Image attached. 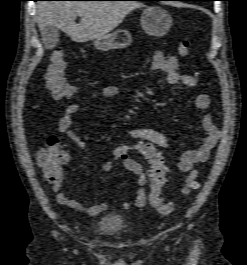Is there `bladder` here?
I'll return each mask as SVG.
<instances>
[{"mask_svg": "<svg viewBox=\"0 0 247 265\" xmlns=\"http://www.w3.org/2000/svg\"><path fill=\"white\" fill-rule=\"evenodd\" d=\"M125 224V220L121 215L106 213L100 217L98 229L104 234L112 235L123 229Z\"/></svg>", "mask_w": 247, "mask_h": 265, "instance_id": "bladder-1", "label": "bladder"}]
</instances>
